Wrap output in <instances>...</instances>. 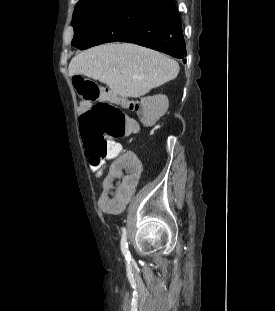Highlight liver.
<instances>
[{
    "label": "liver",
    "mask_w": 275,
    "mask_h": 311,
    "mask_svg": "<svg viewBox=\"0 0 275 311\" xmlns=\"http://www.w3.org/2000/svg\"><path fill=\"white\" fill-rule=\"evenodd\" d=\"M69 76L85 75L122 97H140L173 80L179 64L157 51L131 44H105L85 50L70 61Z\"/></svg>",
    "instance_id": "obj_1"
}]
</instances>
